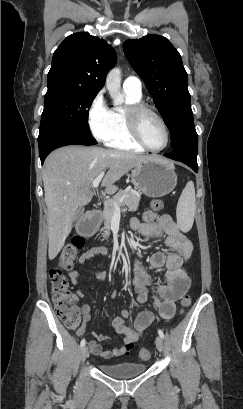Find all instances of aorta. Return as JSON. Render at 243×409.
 Segmentation results:
<instances>
[{"mask_svg":"<svg viewBox=\"0 0 243 409\" xmlns=\"http://www.w3.org/2000/svg\"><path fill=\"white\" fill-rule=\"evenodd\" d=\"M106 87L115 106L124 102V96L121 94V70L113 68L106 77Z\"/></svg>","mask_w":243,"mask_h":409,"instance_id":"762f6f07","label":"aorta"}]
</instances>
